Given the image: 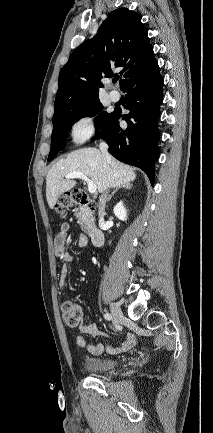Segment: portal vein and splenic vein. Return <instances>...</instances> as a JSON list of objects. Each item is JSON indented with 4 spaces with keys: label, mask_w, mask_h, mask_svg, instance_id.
Listing matches in <instances>:
<instances>
[{
    "label": "portal vein and splenic vein",
    "mask_w": 213,
    "mask_h": 433,
    "mask_svg": "<svg viewBox=\"0 0 213 433\" xmlns=\"http://www.w3.org/2000/svg\"><path fill=\"white\" fill-rule=\"evenodd\" d=\"M65 178L66 179H74V178L82 179L83 181H85L87 183L88 191L91 194H94L97 190L96 184L81 172H71V173L67 174L65 176Z\"/></svg>",
    "instance_id": "18ae733b"
}]
</instances>
